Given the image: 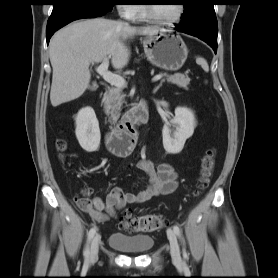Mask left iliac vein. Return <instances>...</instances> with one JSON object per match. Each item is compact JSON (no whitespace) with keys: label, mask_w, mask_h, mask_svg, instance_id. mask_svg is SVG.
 Returning <instances> with one entry per match:
<instances>
[{"label":"left iliac vein","mask_w":278,"mask_h":278,"mask_svg":"<svg viewBox=\"0 0 278 278\" xmlns=\"http://www.w3.org/2000/svg\"><path fill=\"white\" fill-rule=\"evenodd\" d=\"M167 236L170 242V254L172 260L176 265L179 266L181 265V256H180V249H179V244H178L176 234L171 228H168Z\"/></svg>","instance_id":"4c4485c4"}]
</instances>
